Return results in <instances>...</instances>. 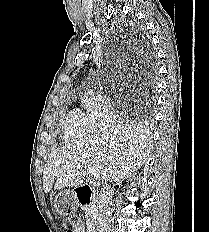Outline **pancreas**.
Segmentation results:
<instances>
[{
    "label": "pancreas",
    "instance_id": "obj_1",
    "mask_svg": "<svg viewBox=\"0 0 209 232\" xmlns=\"http://www.w3.org/2000/svg\"><path fill=\"white\" fill-rule=\"evenodd\" d=\"M83 211L85 213L87 226H92L96 221L98 213L97 202H93L90 205L83 207Z\"/></svg>",
    "mask_w": 209,
    "mask_h": 232
}]
</instances>
